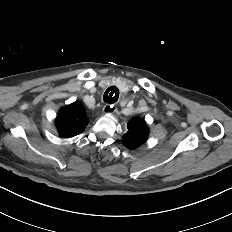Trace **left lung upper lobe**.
<instances>
[{"mask_svg":"<svg viewBox=\"0 0 232 232\" xmlns=\"http://www.w3.org/2000/svg\"><path fill=\"white\" fill-rule=\"evenodd\" d=\"M127 133L123 135V144L128 149H136L148 138L149 130L143 119L135 118L127 124Z\"/></svg>","mask_w":232,"mask_h":232,"instance_id":"1","label":"left lung upper lobe"}]
</instances>
